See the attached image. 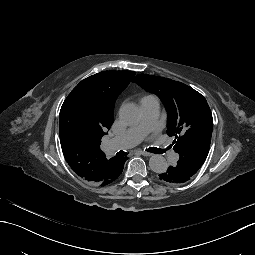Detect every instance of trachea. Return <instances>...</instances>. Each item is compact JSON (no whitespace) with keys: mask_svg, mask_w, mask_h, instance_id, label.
<instances>
[{"mask_svg":"<svg viewBox=\"0 0 255 255\" xmlns=\"http://www.w3.org/2000/svg\"><path fill=\"white\" fill-rule=\"evenodd\" d=\"M146 151H149L151 153H160V154L164 153V150H162L160 148H155V147H149L146 149Z\"/></svg>","mask_w":255,"mask_h":255,"instance_id":"1","label":"trachea"}]
</instances>
